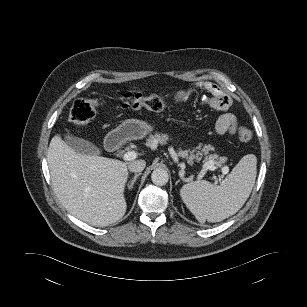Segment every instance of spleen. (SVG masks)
Returning <instances> with one entry per match:
<instances>
[{"instance_id":"3e777b00","label":"spleen","mask_w":307,"mask_h":307,"mask_svg":"<svg viewBox=\"0 0 307 307\" xmlns=\"http://www.w3.org/2000/svg\"><path fill=\"white\" fill-rule=\"evenodd\" d=\"M256 169V156L245 155L220 185L193 181L181 188L180 196L199 222L223 221L237 213L248 199L255 183Z\"/></svg>"}]
</instances>
